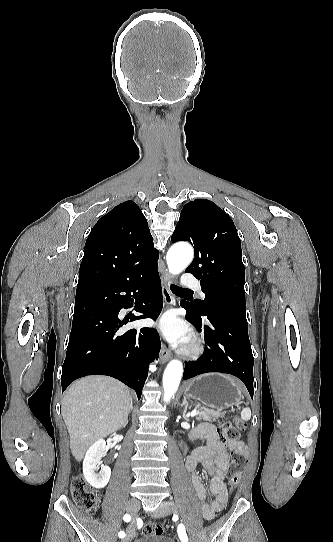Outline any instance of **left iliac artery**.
<instances>
[{
	"instance_id": "left-iliac-artery-1",
	"label": "left iliac artery",
	"mask_w": 333,
	"mask_h": 542,
	"mask_svg": "<svg viewBox=\"0 0 333 542\" xmlns=\"http://www.w3.org/2000/svg\"><path fill=\"white\" fill-rule=\"evenodd\" d=\"M178 536L182 542H188V537L183 524H180L177 529Z\"/></svg>"
}]
</instances>
